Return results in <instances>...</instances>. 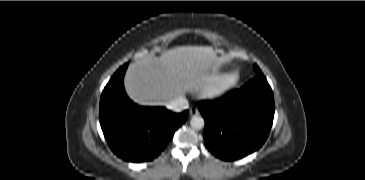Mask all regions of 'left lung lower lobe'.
Listing matches in <instances>:
<instances>
[{"mask_svg":"<svg viewBox=\"0 0 365 180\" xmlns=\"http://www.w3.org/2000/svg\"><path fill=\"white\" fill-rule=\"evenodd\" d=\"M204 140L223 160H236L258 150L266 141L274 118V98L264 75L215 101H202Z\"/></svg>","mask_w":365,"mask_h":180,"instance_id":"left-lung-lower-lobe-1","label":"left lung lower lobe"}]
</instances>
